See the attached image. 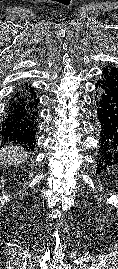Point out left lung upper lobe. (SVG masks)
I'll return each instance as SVG.
<instances>
[{
  "mask_svg": "<svg viewBox=\"0 0 118 269\" xmlns=\"http://www.w3.org/2000/svg\"><path fill=\"white\" fill-rule=\"evenodd\" d=\"M100 83L108 89L118 92V68L112 66L104 67Z\"/></svg>",
  "mask_w": 118,
  "mask_h": 269,
  "instance_id": "1",
  "label": "left lung upper lobe"
}]
</instances>
